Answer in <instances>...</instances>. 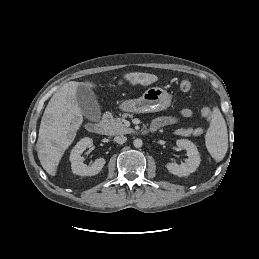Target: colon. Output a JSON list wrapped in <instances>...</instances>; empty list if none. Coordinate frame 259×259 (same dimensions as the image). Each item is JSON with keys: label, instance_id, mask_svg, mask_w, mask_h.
Listing matches in <instances>:
<instances>
[{"label": "colon", "instance_id": "colon-1", "mask_svg": "<svg viewBox=\"0 0 259 259\" xmlns=\"http://www.w3.org/2000/svg\"><path fill=\"white\" fill-rule=\"evenodd\" d=\"M179 89L183 92H187L191 89V82L187 78H183L179 81ZM201 116L209 121L212 117V111L208 107H204L201 109Z\"/></svg>", "mask_w": 259, "mask_h": 259}]
</instances>
